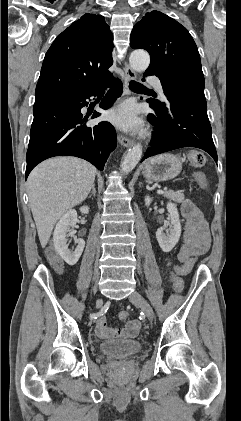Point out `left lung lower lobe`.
Here are the masks:
<instances>
[{
    "label": "left lung lower lobe",
    "mask_w": 241,
    "mask_h": 421,
    "mask_svg": "<svg viewBox=\"0 0 241 421\" xmlns=\"http://www.w3.org/2000/svg\"><path fill=\"white\" fill-rule=\"evenodd\" d=\"M144 75L156 74L145 72ZM161 84L164 91H169L166 96L167 103L147 100L155 111V114L147 116L154 125L155 132L152 135V146L146 151L141 162L148 157L174 149L196 147L209 153L217 163L204 89L197 86L180 88L162 82Z\"/></svg>",
    "instance_id": "obj_1"
}]
</instances>
